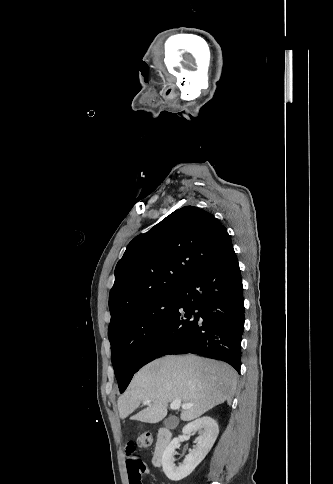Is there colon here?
Listing matches in <instances>:
<instances>
[{
    "label": "colon",
    "instance_id": "1",
    "mask_svg": "<svg viewBox=\"0 0 333 484\" xmlns=\"http://www.w3.org/2000/svg\"><path fill=\"white\" fill-rule=\"evenodd\" d=\"M153 443V436L149 432L142 433L137 439V445L141 448H147Z\"/></svg>",
    "mask_w": 333,
    "mask_h": 484
}]
</instances>
